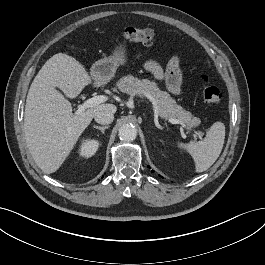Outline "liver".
I'll return each mask as SVG.
<instances>
[{
  "label": "liver",
  "mask_w": 265,
  "mask_h": 265,
  "mask_svg": "<svg viewBox=\"0 0 265 265\" xmlns=\"http://www.w3.org/2000/svg\"><path fill=\"white\" fill-rule=\"evenodd\" d=\"M92 79L78 60L58 53L46 61L31 83L25 105L24 134L32 157L46 174L60 168L97 112H116L114 104H99L72 113L70 101L56 89L68 98H75Z\"/></svg>",
  "instance_id": "liver-1"
}]
</instances>
